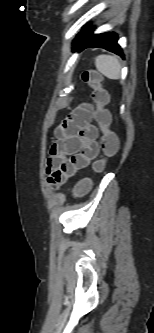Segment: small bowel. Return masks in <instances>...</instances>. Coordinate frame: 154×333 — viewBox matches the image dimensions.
<instances>
[{
  "mask_svg": "<svg viewBox=\"0 0 154 333\" xmlns=\"http://www.w3.org/2000/svg\"><path fill=\"white\" fill-rule=\"evenodd\" d=\"M94 116V107L82 104L56 129L57 140L50 148L46 166L48 183L53 189L96 160L100 147L99 129L92 124Z\"/></svg>",
  "mask_w": 154,
  "mask_h": 333,
  "instance_id": "obj_1",
  "label": "small bowel"
}]
</instances>
